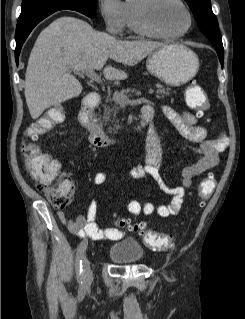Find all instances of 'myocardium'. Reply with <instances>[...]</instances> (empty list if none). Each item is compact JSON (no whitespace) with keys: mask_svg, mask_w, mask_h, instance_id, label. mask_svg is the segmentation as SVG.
Listing matches in <instances>:
<instances>
[{"mask_svg":"<svg viewBox=\"0 0 245 319\" xmlns=\"http://www.w3.org/2000/svg\"><path fill=\"white\" fill-rule=\"evenodd\" d=\"M156 1L157 0H137L134 5V15H135L136 24L144 35L166 38V39H173V38H177V37H181L185 35L191 29L193 25V16L189 7L186 5V3L183 0H175V1L182 6V8L185 10L187 14V18H188L187 26L182 31L172 32V33L165 32L161 30L159 27H157L151 18V11Z\"/></svg>","mask_w":245,"mask_h":319,"instance_id":"obj_1","label":"myocardium"}]
</instances>
